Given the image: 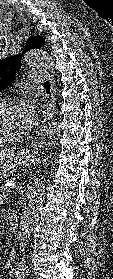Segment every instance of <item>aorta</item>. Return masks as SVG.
Returning a JSON list of instances; mask_svg holds the SVG:
<instances>
[{"label":"aorta","mask_w":113,"mask_h":279,"mask_svg":"<svg viewBox=\"0 0 113 279\" xmlns=\"http://www.w3.org/2000/svg\"><path fill=\"white\" fill-rule=\"evenodd\" d=\"M24 62L30 67H39L53 70V62L48 52L44 49H31L24 55ZM60 127L53 121L41 129L38 144L41 147H50L60 136ZM44 185L39 179H35L32 189L28 196V203L25 206L18 230L19 250L21 261L19 267L26 266L24 251L31 236L34 225L36 224L43 203Z\"/></svg>","instance_id":"obj_1"}]
</instances>
